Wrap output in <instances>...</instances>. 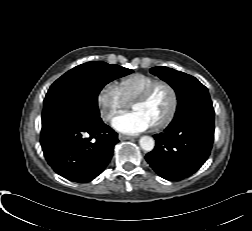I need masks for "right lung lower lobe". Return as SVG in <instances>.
<instances>
[{
	"instance_id": "right-lung-lower-lobe-1",
	"label": "right lung lower lobe",
	"mask_w": 252,
	"mask_h": 231,
	"mask_svg": "<svg viewBox=\"0 0 252 231\" xmlns=\"http://www.w3.org/2000/svg\"><path fill=\"white\" fill-rule=\"evenodd\" d=\"M118 141L100 117L60 114L42 123L41 146L48 164L79 183L90 182L106 168Z\"/></svg>"
}]
</instances>
